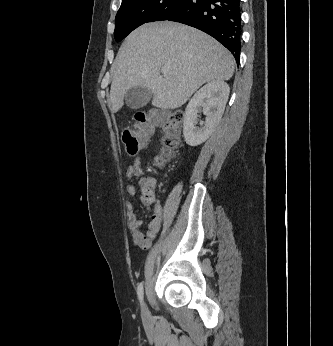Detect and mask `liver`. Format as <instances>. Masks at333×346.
<instances>
[{
  "label": "liver",
  "mask_w": 333,
  "mask_h": 346,
  "mask_svg": "<svg viewBox=\"0 0 333 346\" xmlns=\"http://www.w3.org/2000/svg\"><path fill=\"white\" fill-rule=\"evenodd\" d=\"M234 64L223 45L198 29L173 22L142 25L125 39L113 63L111 110L118 112L125 93L136 86L152 90L153 106L179 108L204 83L229 80Z\"/></svg>",
  "instance_id": "liver-1"
}]
</instances>
